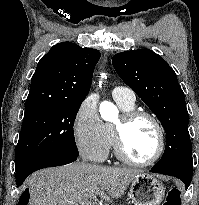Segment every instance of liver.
Instances as JSON below:
<instances>
[{
    "label": "liver",
    "mask_w": 199,
    "mask_h": 205,
    "mask_svg": "<svg viewBox=\"0 0 199 205\" xmlns=\"http://www.w3.org/2000/svg\"><path fill=\"white\" fill-rule=\"evenodd\" d=\"M141 171L84 162L46 168L32 174L29 205H96L92 194L107 201L119 198Z\"/></svg>",
    "instance_id": "1"
}]
</instances>
